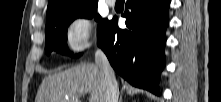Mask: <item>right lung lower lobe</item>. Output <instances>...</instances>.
Here are the masks:
<instances>
[{
    "label": "right lung lower lobe",
    "instance_id": "obj_1",
    "mask_svg": "<svg viewBox=\"0 0 221 102\" xmlns=\"http://www.w3.org/2000/svg\"><path fill=\"white\" fill-rule=\"evenodd\" d=\"M169 4L170 0H127V29H119L113 18L97 34L98 46L114 70L133 86L155 94L165 66Z\"/></svg>",
    "mask_w": 221,
    "mask_h": 102
}]
</instances>
